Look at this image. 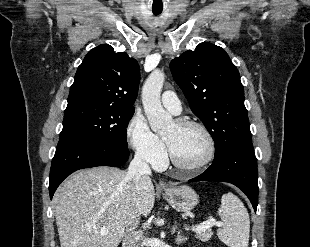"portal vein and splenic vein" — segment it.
<instances>
[{
    "instance_id": "portal-vein-and-splenic-vein-1",
    "label": "portal vein and splenic vein",
    "mask_w": 310,
    "mask_h": 247,
    "mask_svg": "<svg viewBox=\"0 0 310 247\" xmlns=\"http://www.w3.org/2000/svg\"><path fill=\"white\" fill-rule=\"evenodd\" d=\"M214 225H221V223L216 222V220H214V219H210V220H207L206 222H203V223L200 224V225H197V226L193 227V228H192V231H195V232L204 231V230H206V229L211 228V227L214 226ZM185 229L188 230V228H185ZM107 231H108V230H107L106 228H104V229L101 230L100 233H101L102 235H104V234L107 233Z\"/></svg>"
}]
</instances>
